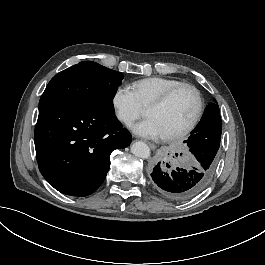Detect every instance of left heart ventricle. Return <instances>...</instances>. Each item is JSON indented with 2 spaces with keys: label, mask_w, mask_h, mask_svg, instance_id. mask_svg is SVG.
I'll use <instances>...</instances> for the list:
<instances>
[{
  "label": "left heart ventricle",
  "mask_w": 265,
  "mask_h": 265,
  "mask_svg": "<svg viewBox=\"0 0 265 265\" xmlns=\"http://www.w3.org/2000/svg\"><path fill=\"white\" fill-rule=\"evenodd\" d=\"M197 108L196 98L189 90L177 94L166 106L146 111L148 118H153L164 135L177 133L193 119Z\"/></svg>",
  "instance_id": "left-heart-ventricle-1"
}]
</instances>
